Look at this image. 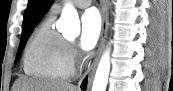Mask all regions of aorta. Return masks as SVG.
Wrapping results in <instances>:
<instances>
[{
	"label": "aorta",
	"mask_w": 173,
	"mask_h": 91,
	"mask_svg": "<svg viewBox=\"0 0 173 91\" xmlns=\"http://www.w3.org/2000/svg\"><path fill=\"white\" fill-rule=\"evenodd\" d=\"M57 28L70 36L80 33V21L76 9L71 4H66L63 9ZM110 72V50H106L98 65L92 91H105Z\"/></svg>",
	"instance_id": "1"
}]
</instances>
